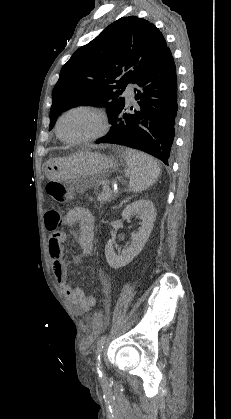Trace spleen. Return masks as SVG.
<instances>
[{"label":"spleen","mask_w":231,"mask_h":419,"mask_svg":"<svg viewBox=\"0 0 231 419\" xmlns=\"http://www.w3.org/2000/svg\"><path fill=\"white\" fill-rule=\"evenodd\" d=\"M125 159L128 166L129 188L133 192H141L152 186L161 174L157 161L137 150L126 149Z\"/></svg>","instance_id":"1"}]
</instances>
